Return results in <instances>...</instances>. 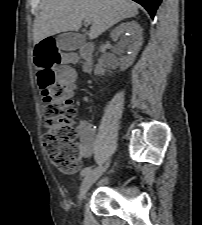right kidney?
<instances>
[{
  "instance_id": "right-kidney-1",
  "label": "right kidney",
  "mask_w": 202,
  "mask_h": 225,
  "mask_svg": "<svg viewBox=\"0 0 202 225\" xmlns=\"http://www.w3.org/2000/svg\"><path fill=\"white\" fill-rule=\"evenodd\" d=\"M113 39L121 38L120 47L127 49V56L121 59V70L131 66L136 58L138 51L142 45V28L135 21L121 23L111 33ZM104 69L101 64H96L95 75L104 74Z\"/></svg>"
}]
</instances>
